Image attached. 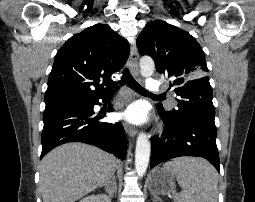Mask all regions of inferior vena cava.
I'll return each mask as SVG.
<instances>
[{
  "mask_svg": "<svg viewBox=\"0 0 255 202\" xmlns=\"http://www.w3.org/2000/svg\"><path fill=\"white\" fill-rule=\"evenodd\" d=\"M105 185H106L107 192H111L113 194L114 186H113L112 182L109 180L108 182L105 183Z\"/></svg>",
  "mask_w": 255,
  "mask_h": 202,
  "instance_id": "obj_1",
  "label": "inferior vena cava"
}]
</instances>
